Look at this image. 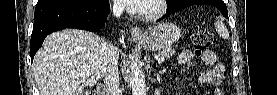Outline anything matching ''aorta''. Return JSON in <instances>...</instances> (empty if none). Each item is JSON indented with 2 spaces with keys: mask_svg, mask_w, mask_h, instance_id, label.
Returning <instances> with one entry per match:
<instances>
[{
  "mask_svg": "<svg viewBox=\"0 0 277 95\" xmlns=\"http://www.w3.org/2000/svg\"><path fill=\"white\" fill-rule=\"evenodd\" d=\"M130 85L132 87V95H146L145 75L141 67L136 66L132 69Z\"/></svg>",
  "mask_w": 277,
  "mask_h": 95,
  "instance_id": "obj_1",
  "label": "aorta"
}]
</instances>
